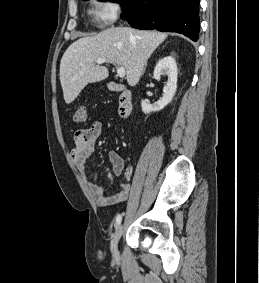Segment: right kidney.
I'll return each instance as SVG.
<instances>
[{"mask_svg":"<svg viewBox=\"0 0 259 283\" xmlns=\"http://www.w3.org/2000/svg\"><path fill=\"white\" fill-rule=\"evenodd\" d=\"M177 74V65L173 56L159 60L153 72L154 78L159 80L161 75H166L168 81L163 88V97L155 104L150 105L144 100L141 101V108L145 114L160 111L172 101L177 89Z\"/></svg>","mask_w":259,"mask_h":283,"instance_id":"obj_1","label":"right kidney"}]
</instances>
